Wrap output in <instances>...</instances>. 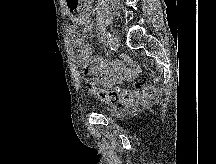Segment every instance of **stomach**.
<instances>
[{
	"label": "stomach",
	"instance_id": "obj_1",
	"mask_svg": "<svg viewBox=\"0 0 216 164\" xmlns=\"http://www.w3.org/2000/svg\"><path fill=\"white\" fill-rule=\"evenodd\" d=\"M67 4V8L70 12H73L74 10H79L81 6L82 0H65Z\"/></svg>",
	"mask_w": 216,
	"mask_h": 164
}]
</instances>
